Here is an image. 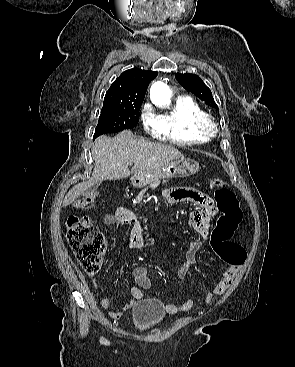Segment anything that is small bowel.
Returning a JSON list of instances; mask_svg holds the SVG:
<instances>
[{
  "label": "small bowel",
  "mask_w": 295,
  "mask_h": 367,
  "mask_svg": "<svg viewBox=\"0 0 295 367\" xmlns=\"http://www.w3.org/2000/svg\"><path fill=\"white\" fill-rule=\"evenodd\" d=\"M165 196L171 203L188 202L202 207V212L200 208H188L185 210V213L189 215V223L199 233V235L201 237L208 236L210 221L216 214V207L211 198L191 187H179L169 190L165 193ZM104 224L116 226L133 225L127 242L125 243V248L129 250H137L144 245L145 226L142 221L135 217L134 213L130 209L119 207L114 213L105 215ZM200 246L201 241L199 239L192 240L189 243L185 253V262L178 271V276L180 278L187 277L190 270L195 265V255ZM214 249L217 252L216 248ZM241 265H230L227 263L221 273V279L213 284L210 291L201 297L199 305L200 309H204L208 306L215 296L222 294L231 285L234 277L239 272ZM132 276L136 283V285H132L130 287L133 299L126 303L122 307L121 311H109V316L113 319H118L121 316L122 311L132 308L136 304V301L143 298L142 289H149L151 287V280L145 266L140 265L135 267L132 272ZM93 284L95 287L98 286V282L96 280L93 281ZM100 304L103 309H108L111 305V301L109 298L105 297L101 300ZM193 306L194 300L188 298L179 306L167 304L164 309L168 313L174 314L189 311Z\"/></svg>",
  "instance_id": "small-bowel-1"
}]
</instances>
